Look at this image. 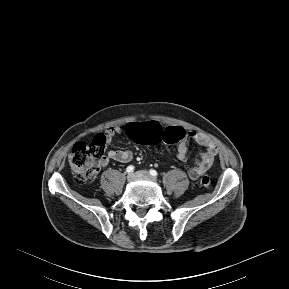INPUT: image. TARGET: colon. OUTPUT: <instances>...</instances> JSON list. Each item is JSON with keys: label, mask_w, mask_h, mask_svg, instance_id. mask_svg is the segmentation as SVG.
Segmentation results:
<instances>
[{"label": "colon", "mask_w": 289, "mask_h": 289, "mask_svg": "<svg viewBox=\"0 0 289 289\" xmlns=\"http://www.w3.org/2000/svg\"><path fill=\"white\" fill-rule=\"evenodd\" d=\"M125 135L138 143L153 145L159 142L176 143L184 140L187 133L182 128L164 130L159 123H130L125 128ZM105 138L96 136L91 143L78 142L69 154V163L77 183L85 184L91 181L100 164L105 158ZM211 183L208 175L200 179V185L207 188Z\"/></svg>", "instance_id": "colon-1"}]
</instances>
